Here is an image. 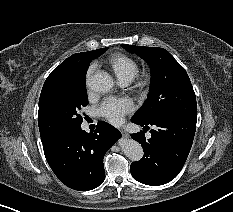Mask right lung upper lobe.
<instances>
[{"label":"right lung upper lobe","instance_id":"obj_1","mask_svg":"<svg viewBox=\"0 0 233 212\" xmlns=\"http://www.w3.org/2000/svg\"><path fill=\"white\" fill-rule=\"evenodd\" d=\"M95 51V50H94ZM94 51L76 53L71 57L67 58L63 63H61L57 68H55L47 79H50L61 73L76 70L82 67H89L91 61L94 59ZM43 147L51 144V142L42 141Z\"/></svg>","mask_w":233,"mask_h":212}]
</instances>
